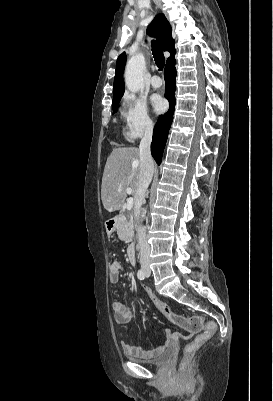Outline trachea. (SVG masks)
Listing matches in <instances>:
<instances>
[{"label":"trachea","instance_id":"trachea-1","mask_svg":"<svg viewBox=\"0 0 273 401\" xmlns=\"http://www.w3.org/2000/svg\"><path fill=\"white\" fill-rule=\"evenodd\" d=\"M151 46L155 63L158 66V68L162 70L165 65V57L163 51L157 41H153Z\"/></svg>","mask_w":273,"mask_h":401}]
</instances>
